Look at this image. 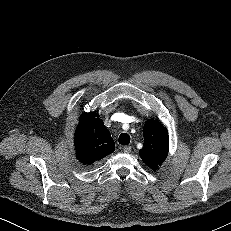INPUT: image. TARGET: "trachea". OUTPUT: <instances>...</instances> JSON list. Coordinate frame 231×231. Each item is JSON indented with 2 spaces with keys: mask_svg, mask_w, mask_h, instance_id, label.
Wrapping results in <instances>:
<instances>
[{
  "mask_svg": "<svg viewBox=\"0 0 231 231\" xmlns=\"http://www.w3.org/2000/svg\"><path fill=\"white\" fill-rule=\"evenodd\" d=\"M119 143L121 145H128L130 143V136L127 133H122L119 136Z\"/></svg>",
  "mask_w": 231,
  "mask_h": 231,
  "instance_id": "1",
  "label": "trachea"
}]
</instances>
